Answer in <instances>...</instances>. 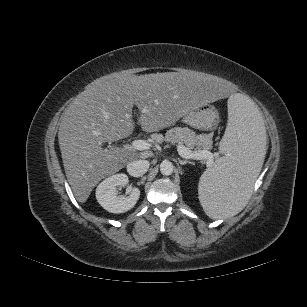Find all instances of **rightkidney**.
I'll return each instance as SVG.
<instances>
[{"instance_id":"right-kidney-1","label":"right kidney","mask_w":307,"mask_h":307,"mask_svg":"<svg viewBox=\"0 0 307 307\" xmlns=\"http://www.w3.org/2000/svg\"><path fill=\"white\" fill-rule=\"evenodd\" d=\"M129 183L126 174H115L103 180L96 188L98 203L108 212L124 213L132 209L137 203L140 190L133 187L128 197L117 196V187L127 186Z\"/></svg>"}]
</instances>
